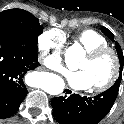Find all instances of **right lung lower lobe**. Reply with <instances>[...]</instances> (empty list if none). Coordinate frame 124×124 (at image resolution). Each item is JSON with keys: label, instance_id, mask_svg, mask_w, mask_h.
Wrapping results in <instances>:
<instances>
[{"label": "right lung lower lobe", "instance_id": "obj_1", "mask_svg": "<svg viewBox=\"0 0 124 124\" xmlns=\"http://www.w3.org/2000/svg\"><path fill=\"white\" fill-rule=\"evenodd\" d=\"M37 46L24 38L0 37V119L11 117L27 95L24 75L38 67Z\"/></svg>", "mask_w": 124, "mask_h": 124}]
</instances>
